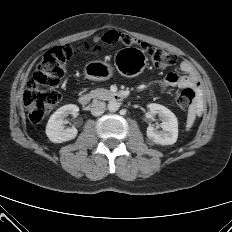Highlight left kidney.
<instances>
[{"label":"left kidney","instance_id":"5707ae66","mask_svg":"<svg viewBox=\"0 0 232 232\" xmlns=\"http://www.w3.org/2000/svg\"><path fill=\"white\" fill-rule=\"evenodd\" d=\"M149 111L152 115L158 114L161 118L162 131H157L152 126L147 128L146 134L151 142L160 145H172L178 138V121L173 112L163 105L151 103L148 105Z\"/></svg>","mask_w":232,"mask_h":232}]
</instances>
